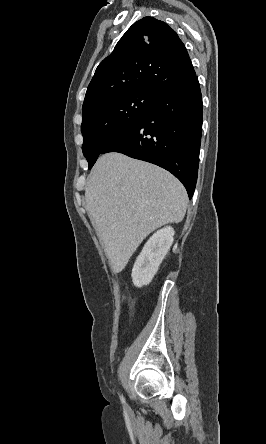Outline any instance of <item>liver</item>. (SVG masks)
<instances>
[{"label":"liver","instance_id":"obj_1","mask_svg":"<svg viewBox=\"0 0 266 444\" xmlns=\"http://www.w3.org/2000/svg\"><path fill=\"white\" fill-rule=\"evenodd\" d=\"M85 201L115 273L147 235L181 222L187 209L186 190L172 174L114 152L102 155L91 170Z\"/></svg>","mask_w":266,"mask_h":444}]
</instances>
